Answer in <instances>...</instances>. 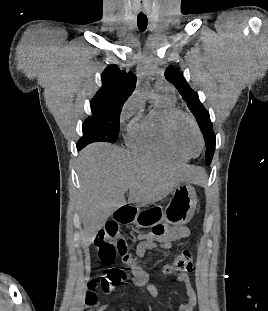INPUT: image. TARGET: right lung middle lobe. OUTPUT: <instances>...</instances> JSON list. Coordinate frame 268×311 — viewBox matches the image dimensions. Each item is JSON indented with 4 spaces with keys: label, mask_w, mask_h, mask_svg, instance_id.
Listing matches in <instances>:
<instances>
[{
    "label": "right lung middle lobe",
    "mask_w": 268,
    "mask_h": 311,
    "mask_svg": "<svg viewBox=\"0 0 268 311\" xmlns=\"http://www.w3.org/2000/svg\"><path fill=\"white\" fill-rule=\"evenodd\" d=\"M92 116L83 123V137L77 145L85 147L93 142L115 143L120 131L121 107L90 102Z\"/></svg>",
    "instance_id": "1"
}]
</instances>
